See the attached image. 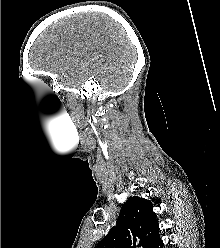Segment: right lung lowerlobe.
Returning <instances> with one entry per match:
<instances>
[{
    "instance_id": "98d812e1",
    "label": "right lung lower lobe",
    "mask_w": 220,
    "mask_h": 248,
    "mask_svg": "<svg viewBox=\"0 0 220 248\" xmlns=\"http://www.w3.org/2000/svg\"><path fill=\"white\" fill-rule=\"evenodd\" d=\"M163 247V242L162 240H160L155 246L154 248H162Z\"/></svg>"
}]
</instances>
